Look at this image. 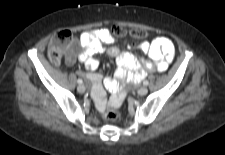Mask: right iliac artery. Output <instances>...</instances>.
<instances>
[{"label": "right iliac artery", "mask_w": 225, "mask_h": 155, "mask_svg": "<svg viewBox=\"0 0 225 155\" xmlns=\"http://www.w3.org/2000/svg\"><path fill=\"white\" fill-rule=\"evenodd\" d=\"M77 82H78V84H82L83 83V81L81 79H78Z\"/></svg>", "instance_id": "obj_1"}]
</instances>
